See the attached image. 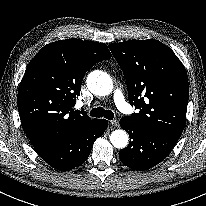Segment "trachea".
<instances>
[{
  "label": "trachea",
  "instance_id": "obj_1",
  "mask_svg": "<svg viewBox=\"0 0 206 206\" xmlns=\"http://www.w3.org/2000/svg\"><path fill=\"white\" fill-rule=\"evenodd\" d=\"M90 115L92 117H104L106 119L112 120L114 118V113L111 110H105L103 107H97L91 110Z\"/></svg>",
  "mask_w": 206,
  "mask_h": 206
}]
</instances>
